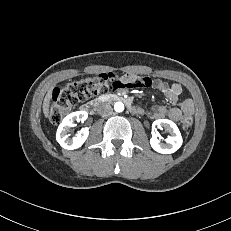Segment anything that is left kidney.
Returning a JSON list of instances; mask_svg holds the SVG:
<instances>
[{"label": "left kidney", "instance_id": "1", "mask_svg": "<svg viewBox=\"0 0 231 231\" xmlns=\"http://www.w3.org/2000/svg\"><path fill=\"white\" fill-rule=\"evenodd\" d=\"M152 128L153 132L150 139V144L155 151L161 154H171L181 147L183 139L177 125L173 121L168 119H158L153 122ZM156 128H164L171 134V136L167 137L166 143H161L158 140L156 134L154 133Z\"/></svg>", "mask_w": 231, "mask_h": 231}]
</instances>
